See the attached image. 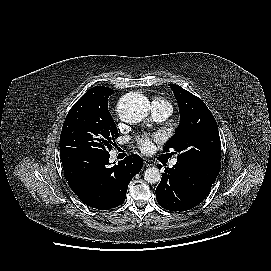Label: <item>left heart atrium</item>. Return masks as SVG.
I'll use <instances>...</instances> for the list:
<instances>
[{"label":"left heart atrium","instance_id":"39dd6f15","mask_svg":"<svg viewBox=\"0 0 271 271\" xmlns=\"http://www.w3.org/2000/svg\"><path fill=\"white\" fill-rule=\"evenodd\" d=\"M138 144L139 148L145 153L150 152L153 148L152 141L149 136L141 137L138 141Z\"/></svg>","mask_w":271,"mask_h":271}]
</instances>
